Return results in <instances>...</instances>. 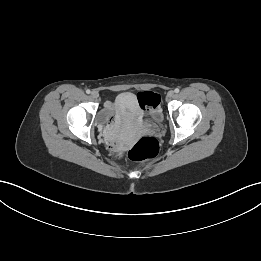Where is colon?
<instances>
[{
	"mask_svg": "<svg viewBox=\"0 0 261 261\" xmlns=\"http://www.w3.org/2000/svg\"><path fill=\"white\" fill-rule=\"evenodd\" d=\"M137 103L140 110L145 112L148 120L160 121L163 113L160 109L162 96L157 91H142L137 96ZM109 149L120 154V143L115 137H111L108 142ZM159 152V144L152 137L140 138L128 151V158L136 163L154 159Z\"/></svg>",
	"mask_w": 261,
	"mask_h": 261,
	"instance_id": "5ec220e1",
	"label": "colon"
}]
</instances>
